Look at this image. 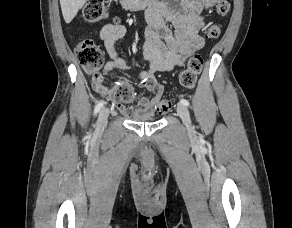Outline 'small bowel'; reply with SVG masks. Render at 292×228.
I'll list each match as a JSON object with an SVG mask.
<instances>
[{
	"label": "small bowel",
	"mask_w": 292,
	"mask_h": 228,
	"mask_svg": "<svg viewBox=\"0 0 292 228\" xmlns=\"http://www.w3.org/2000/svg\"><path fill=\"white\" fill-rule=\"evenodd\" d=\"M216 0H165L157 2L147 13L149 26L142 47V57L148 69L140 72L142 84L154 91L151 98L137 97L138 107L116 105L127 116H153L164 93V87L157 81V72H170L182 66L185 60L200 50L204 40L200 31L204 25L202 12L215 4ZM126 33L121 24H107L100 31V38L108 56L103 72L130 67L115 48L116 42Z\"/></svg>",
	"instance_id": "small-bowel-1"
}]
</instances>
